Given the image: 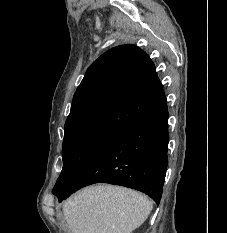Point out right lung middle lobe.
Segmentation results:
<instances>
[{"label":"right lung middle lobe","mask_w":227,"mask_h":233,"mask_svg":"<svg viewBox=\"0 0 227 233\" xmlns=\"http://www.w3.org/2000/svg\"><path fill=\"white\" fill-rule=\"evenodd\" d=\"M116 134L98 129L78 130L65 134L63 169L53 188V193L69 187Z\"/></svg>","instance_id":"right-lung-middle-lobe-1"}]
</instances>
